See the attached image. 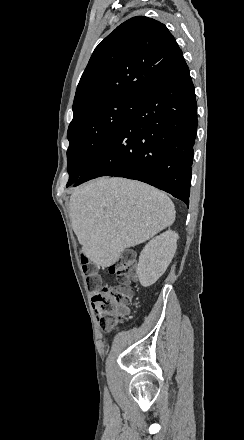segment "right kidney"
<instances>
[{"label":"right kidney","instance_id":"1","mask_svg":"<svg viewBox=\"0 0 244 440\" xmlns=\"http://www.w3.org/2000/svg\"><path fill=\"white\" fill-rule=\"evenodd\" d=\"M179 236L167 230L146 244L139 256L137 274L141 286L148 288L166 272L177 248Z\"/></svg>","mask_w":244,"mask_h":440}]
</instances>
